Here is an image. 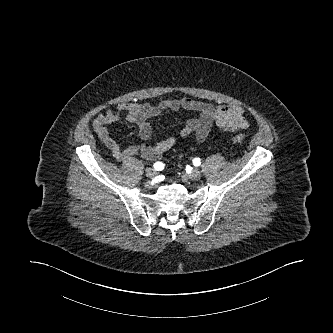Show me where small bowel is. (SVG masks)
<instances>
[{
    "label": "small bowel",
    "mask_w": 333,
    "mask_h": 333,
    "mask_svg": "<svg viewBox=\"0 0 333 333\" xmlns=\"http://www.w3.org/2000/svg\"><path fill=\"white\" fill-rule=\"evenodd\" d=\"M180 111H193L198 114V117L188 119L180 129L182 138L193 136L197 142L204 141L214 125L224 132H237L248 127L243 110L238 106L214 107L187 97L165 99L157 105L138 102L122 103L114 109L98 114L93 119L92 126L100 141L111 151L117 161H125L137 153H141L146 159L153 160L173 148L176 137L170 136L152 144L142 143L122 148L108 130V126L125 115L128 122L138 126L140 138L147 141L152 137L150 123L152 118L166 112Z\"/></svg>",
    "instance_id": "obj_1"
}]
</instances>
